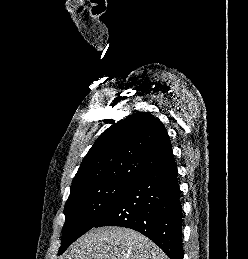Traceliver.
Returning a JSON list of instances; mask_svg holds the SVG:
<instances>
[{"label": "liver", "mask_w": 248, "mask_h": 259, "mask_svg": "<svg viewBox=\"0 0 248 259\" xmlns=\"http://www.w3.org/2000/svg\"><path fill=\"white\" fill-rule=\"evenodd\" d=\"M61 259H169L146 236L118 226L93 228L69 248Z\"/></svg>", "instance_id": "obj_1"}]
</instances>
